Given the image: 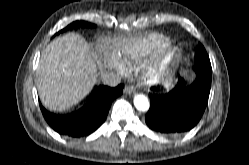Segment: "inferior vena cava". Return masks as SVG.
Masks as SVG:
<instances>
[{
	"instance_id": "602c4592",
	"label": "inferior vena cava",
	"mask_w": 249,
	"mask_h": 165,
	"mask_svg": "<svg viewBox=\"0 0 249 165\" xmlns=\"http://www.w3.org/2000/svg\"><path fill=\"white\" fill-rule=\"evenodd\" d=\"M101 78H102L103 84L111 86V87H115L121 82L120 76L113 72L103 73Z\"/></svg>"
}]
</instances>
